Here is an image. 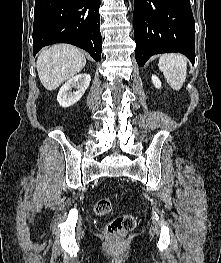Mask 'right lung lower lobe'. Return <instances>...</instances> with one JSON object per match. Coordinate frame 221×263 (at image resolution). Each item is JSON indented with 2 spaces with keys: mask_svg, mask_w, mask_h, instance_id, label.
I'll list each match as a JSON object with an SVG mask.
<instances>
[{
  "mask_svg": "<svg viewBox=\"0 0 221 263\" xmlns=\"http://www.w3.org/2000/svg\"><path fill=\"white\" fill-rule=\"evenodd\" d=\"M100 0H35L34 55L44 46L69 43L100 61Z\"/></svg>",
  "mask_w": 221,
  "mask_h": 263,
  "instance_id": "obj_1",
  "label": "right lung lower lobe"
}]
</instances>
